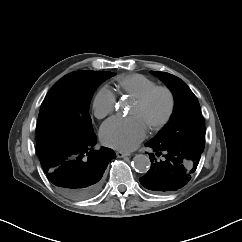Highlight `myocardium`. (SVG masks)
Wrapping results in <instances>:
<instances>
[{
    "label": "myocardium",
    "instance_id": "1",
    "mask_svg": "<svg viewBox=\"0 0 242 242\" xmlns=\"http://www.w3.org/2000/svg\"><path fill=\"white\" fill-rule=\"evenodd\" d=\"M158 92H164L167 95L168 100H169V107H168V111H167L166 115L164 116V118L162 120H160L159 122L151 125L148 128V130L150 132L159 131L170 123V121L175 113V109H176L175 95H174L173 91L167 86H155L134 99V102H136L137 104H145L154 94H156Z\"/></svg>",
    "mask_w": 242,
    "mask_h": 242
}]
</instances>
